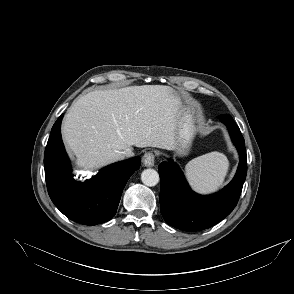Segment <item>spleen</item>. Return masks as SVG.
<instances>
[{"instance_id": "3e777b00", "label": "spleen", "mask_w": 294, "mask_h": 294, "mask_svg": "<svg viewBox=\"0 0 294 294\" xmlns=\"http://www.w3.org/2000/svg\"><path fill=\"white\" fill-rule=\"evenodd\" d=\"M229 168L226 156L210 152L189 161L185 167L187 179L194 190L210 193L224 182Z\"/></svg>"}]
</instances>
